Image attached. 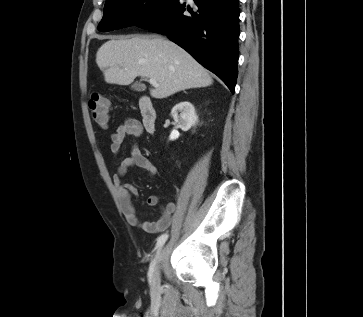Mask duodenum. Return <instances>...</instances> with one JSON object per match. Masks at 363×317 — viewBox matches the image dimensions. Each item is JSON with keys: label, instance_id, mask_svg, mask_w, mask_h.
Segmentation results:
<instances>
[{"label": "duodenum", "instance_id": "1", "mask_svg": "<svg viewBox=\"0 0 363 317\" xmlns=\"http://www.w3.org/2000/svg\"><path fill=\"white\" fill-rule=\"evenodd\" d=\"M139 111L145 130L149 133H155L157 113L149 97L144 96L139 100Z\"/></svg>", "mask_w": 363, "mask_h": 317}]
</instances>
